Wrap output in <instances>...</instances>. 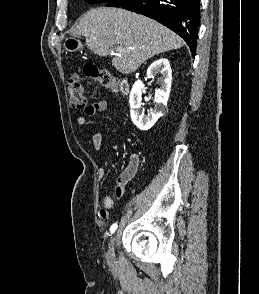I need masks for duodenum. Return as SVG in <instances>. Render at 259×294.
Wrapping results in <instances>:
<instances>
[{"label": "duodenum", "mask_w": 259, "mask_h": 294, "mask_svg": "<svg viewBox=\"0 0 259 294\" xmlns=\"http://www.w3.org/2000/svg\"><path fill=\"white\" fill-rule=\"evenodd\" d=\"M120 88H121V91L123 92V93H127L128 92V83L125 81V80H123L122 82H121V85H120Z\"/></svg>", "instance_id": "obj_1"}]
</instances>
